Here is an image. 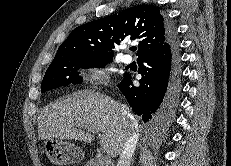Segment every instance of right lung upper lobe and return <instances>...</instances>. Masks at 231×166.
<instances>
[{
    "label": "right lung upper lobe",
    "mask_w": 231,
    "mask_h": 166,
    "mask_svg": "<svg viewBox=\"0 0 231 166\" xmlns=\"http://www.w3.org/2000/svg\"><path fill=\"white\" fill-rule=\"evenodd\" d=\"M168 36L167 19L160 9L138 5L75 28L58 48L54 60L82 55L113 57L114 44L127 38L139 41L140 58L160 49Z\"/></svg>",
    "instance_id": "1"
}]
</instances>
